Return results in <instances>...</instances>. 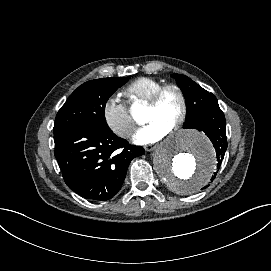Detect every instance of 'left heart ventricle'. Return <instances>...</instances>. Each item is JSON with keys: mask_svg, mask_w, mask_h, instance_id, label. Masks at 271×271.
<instances>
[{"mask_svg": "<svg viewBox=\"0 0 271 271\" xmlns=\"http://www.w3.org/2000/svg\"><path fill=\"white\" fill-rule=\"evenodd\" d=\"M182 108L180 94L170 89L164 94L158 109L147 106L145 121L146 123L158 122L171 129L174 121L180 116Z\"/></svg>", "mask_w": 271, "mask_h": 271, "instance_id": "b2bd125f", "label": "left heart ventricle"}]
</instances>
